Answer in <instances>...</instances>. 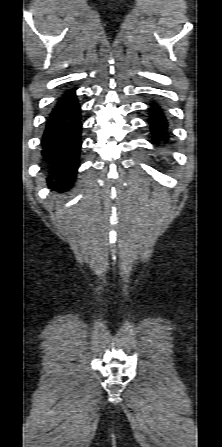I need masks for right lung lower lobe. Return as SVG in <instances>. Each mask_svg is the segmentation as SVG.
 <instances>
[{
    "mask_svg": "<svg viewBox=\"0 0 222 447\" xmlns=\"http://www.w3.org/2000/svg\"><path fill=\"white\" fill-rule=\"evenodd\" d=\"M81 134V106L75 90L70 89L56 100L42 136V156L50 169L49 188L60 191L72 185L79 166Z\"/></svg>",
    "mask_w": 222,
    "mask_h": 447,
    "instance_id": "obj_1",
    "label": "right lung lower lobe"
}]
</instances>
